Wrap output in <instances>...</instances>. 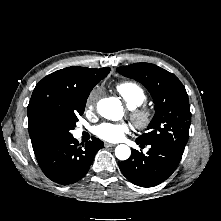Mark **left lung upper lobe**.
Returning <instances> with one entry per match:
<instances>
[{"label":"left lung upper lobe","mask_w":221,"mask_h":221,"mask_svg":"<svg viewBox=\"0 0 221 221\" xmlns=\"http://www.w3.org/2000/svg\"><path fill=\"white\" fill-rule=\"evenodd\" d=\"M116 70L143 84L155 103V115L148 126L150 131L138 140L144 144L164 145L183 153L189 138L191 113L188 95L180 80L151 63H135Z\"/></svg>","instance_id":"obj_1"}]
</instances>
